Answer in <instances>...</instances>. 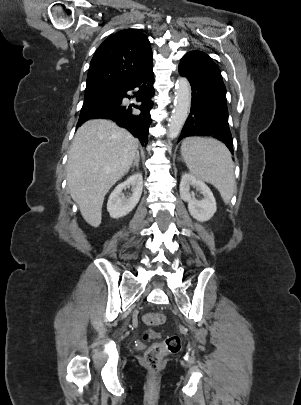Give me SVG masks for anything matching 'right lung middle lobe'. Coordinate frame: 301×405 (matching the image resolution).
<instances>
[{
  "instance_id": "1",
  "label": "right lung middle lobe",
  "mask_w": 301,
  "mask_h": 405,
  "mask_svg": "<svg viewBox=\"0 0 301 405\" xmlns=\"http://www.w3.org/2000/svg\"><path fill=\"white\" fill-rule=\"evenodd\" d=\"M119 96V91L110 89L86 90L85 100L81 110L95 108L99 105L110 103Z\"/></svg>"
}]
</instances>
